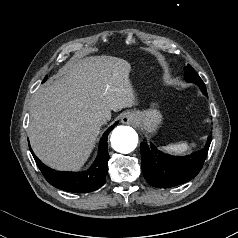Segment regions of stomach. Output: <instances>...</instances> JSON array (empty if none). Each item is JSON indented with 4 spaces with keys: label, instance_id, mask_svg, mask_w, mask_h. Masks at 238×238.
<instances>
[{
    "label": "stomach",
    "instance_id": "obj_1",
    "mask_svg": "<svg viewBox=\"0 0 238 238\" xmlns=\"http://www.w3.org/2000/svg\"><path fill=\"white\" fill-rule=\"evenodd\" d=\"M133 114L137 118V124L148 133L155 132L162 122L161 113L154 108L144 111H134Z\"/></svg>",
    "mask_w": 238,
    "mask_h": 238
}]
</instances>
